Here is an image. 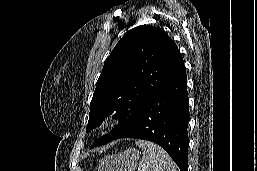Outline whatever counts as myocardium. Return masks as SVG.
Here are the masks:
<instances>
[{"label":"myocardium","mask_w":257,"mask_h":171,"mask_svg":"<svg viewBox=\"0 0 257 171\" xmlns=\"http://www.w3.org/2000/svg\"><path fill=\"white\" fill-rule=\"evenodd\" d=\"M119 123V120L116 116L108 115L104 117L99 123V129L101 131H110L114 129Z\"/></svg>","instance_id":"myocardium-1"}]
</instances>
